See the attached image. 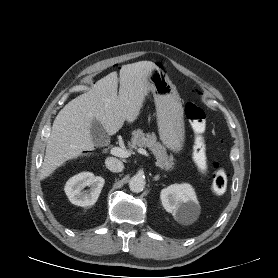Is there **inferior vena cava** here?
<instances>
[{"mask_svg":"<svg viewBox=\"0 0 278 278\" xmlns=\"http://www.w3.org/2000/svg\"><path fill=\"white\" fill-rule=\"evenodd\" d=\"M105 164L108 170L111 172H121L124 168V164L114 157H108L105 160Z\"/></svg>","mask_w":278,"mask_h":278,"instance_id":"inferior-vena-cava-1","label":"inferior vena cava"}]
</instances>
